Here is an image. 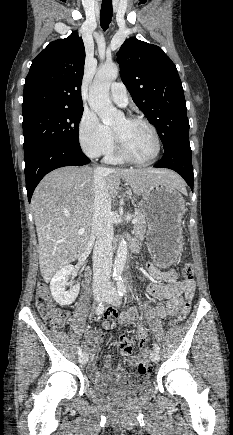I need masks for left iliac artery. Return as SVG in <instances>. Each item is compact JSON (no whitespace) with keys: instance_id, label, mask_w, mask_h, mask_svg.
Here are the masks:
<instances>
[{"instance_id":"1","label":"left iliac artery","mask_w":233,"mask_h":435,"mask_svg":"<svg viewBox=\"0 0 233 435\" xmlns=\"http://www.w3.org/2000/svg\"><path fill=\"white\" fill-rule=\"evenodd\" d=\"M117 288H118V293L120 296H124L126 293V286L124 284V280L122 277H118L117 278ZM154 350L159 352L160 348L158 346V344L154 343Z\"/></svg>"}]
</instances>
